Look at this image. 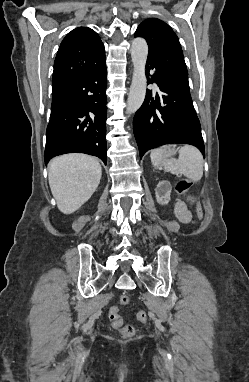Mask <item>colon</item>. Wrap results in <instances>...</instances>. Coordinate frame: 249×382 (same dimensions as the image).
Returning a JSON list of instances; mask_svg holds the SVG:
<instances>
[{"instance_id":"1","label":"colon","mask_w":249,"mask_h":382,"mask_svg":"<svg viewBox=\"0 0 249 382\" xmlns=\"http://www.w3.org/2000/svg\"><path fill=\"white\" fill-rule=\"evenodd\" d=\"M190 185L191 184H190L189 181L181 180V181H179L176 184V191L179 192V193H184V192H186L189 189ZM188 200H189V203H190L191 207H193L196 210L199 209L198 204L196 202V199L193 196H189ZM120 303L122 305L128 304L129 303V297L127 295H122L120 297ZM109 318L112 321L113 326L116 327V328H119L120 334L123 337L129 338V337H132L134 335V333H135L134 326H132V325H123L122 324V320L120 319V317L118 315V309L117 308L113 307V308L110 309V311H109ZM137 319H138L139 322L145 323L147 321L146 313L143 312V311L139 312L137 314Z\"/></svg>"}]
</instances>
